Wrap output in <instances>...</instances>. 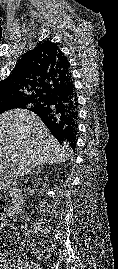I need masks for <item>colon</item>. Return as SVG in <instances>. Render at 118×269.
Here are the masks:
<instances>
[{
    "mask_svg": "<svg viewBox=\"0 0 118 269\" xmlns=\"http://www.w3.org/2000/svg\"><path fill=\"white\" fill-rule=\"evenodd\" d=\"M3 207H4L3 202H2V200L0 199V212H2Z\"/></svg>",
    "mask_w": 118,
    "mask_h": 269,
    "instance_id": "obj_1",
    "label": "colon"
}]
</instances>
